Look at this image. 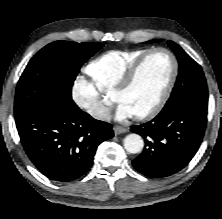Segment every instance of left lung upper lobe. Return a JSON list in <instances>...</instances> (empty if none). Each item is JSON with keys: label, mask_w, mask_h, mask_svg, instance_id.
I'll return each mask as SVG.
<instances>
[{"label": "left lung upper lobe", "mask_w": 222, "mask_h": 219, "mask_svg": "<svg viewBox=\"0 0 222 219\" xmlns=\"http://www.w3.org/2000/svg\"><path fill=\"white\" fill-rule=\"evenodd\" d=\"M151 40L148 43L160 42ZM168 45L174 51L180 65L176 85L167 104L179 99H190L201 104H208V90L202 68L179 45L168 41Z\"/></svg>", "instance_id": "1"}]
</instances>
